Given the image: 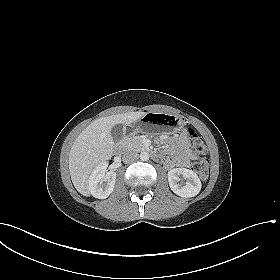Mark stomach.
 <instances>
[{"instance_id":"1","label":"stomach","mask_w":280,"mask_h":280,"mask_svg":"<svg viewBox=\"0 0 280 280\" xmlns=\"http://www.w3.org/2000/svg\"><path fill=\"white\" fill-rule=\"evenodd\" d=\"M184 121L172 114L150 112L131 124L132 133L162 130L166 133H176L182 130Z\"/></svg>"}]
</instances>
